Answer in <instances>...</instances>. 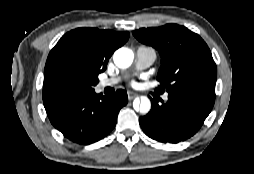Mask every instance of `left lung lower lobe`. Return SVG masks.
I'll return each instance as SVG.
<instances>
[{"label": "left lung lower lobe", "mask_w": 254, "mask_h": 174, "mask_svg": "<svg viewBox=\"0 0 254 174\" xmlns=\"http://www.w3.org/2000/svg\"><path fill=\"white\" fill-rule=\"evenodd\" d=\"M151 99L150 112L139 118L143 131L159 142L178 143L193 136L211 112L214 101L186 92L168 93V101Z\"/></svg>", "instance_id": "0a47b994"}]
</instances>
